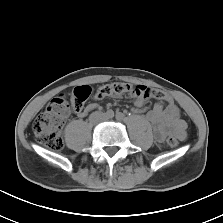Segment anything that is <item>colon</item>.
Segmentation results:
<instances>
[{"instance_id": "1", "label": "colon", "mask_w": 223, "mask_h": 223, "mask_svg": "<svg viewBox=\"0 0 223 223\" xmlns=\"http://www.w3.org/2000/svg\"><path fill=\"white\" fill-rule=\"evenodd\" d=\"M124 93H132L141 100L151 98L170 100V95L165 91L143 85L133 86L125 82L103 85L95 93L90 86H79L73 90L70 102L64 96L58 97L34 119L32 130L36 140L50 150H61L63 147L61 130L71 110L77 113L82 111L87 100L92 96L101 99ZM166 141L170 147L177 146L179 142L175 135H169Z\"/></svg>"}]
</instances>
